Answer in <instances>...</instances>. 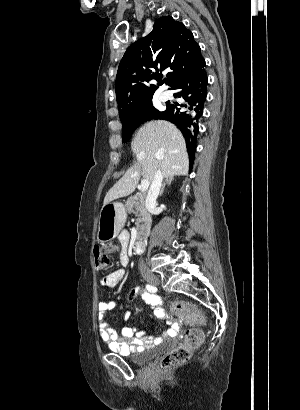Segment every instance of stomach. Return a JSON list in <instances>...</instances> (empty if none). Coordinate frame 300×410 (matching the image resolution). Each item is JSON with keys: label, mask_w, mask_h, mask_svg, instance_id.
<instances>
[{"label": "stomach", "mask_w": 300, "mask_h": 410, "mask_svg": "<svg viewBox=\"0 0 300 410\" xmlns=\"http://www.w3.org/2000/svg\"><path fill=\"white\" fill-rule=\"evenodd\" d=\"M126 217V209L122 203L104 205L100 212L97 239L106 241L115 238L123 228Z\"/></svg>", "instance_id": "0dacf381"}]
</instances>
